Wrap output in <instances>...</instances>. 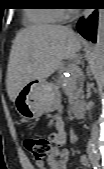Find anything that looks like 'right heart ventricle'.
Masks as SVG:
<instances>
[{"mask_svg": "<svg viewBox=\"0 0 104 169\" xmlns=\"http://www.w3.org/2000/svg\"><path fill=\"white\" fill-rule=\"evenodd\" d=\"M27 17L38 24H51L59 20L58 10L54 8H36L27 12Z\"/></svg>", "mask_w": 104, "mask_h": 169, "instance_id": "e07e8e85", "label": "right heart ventricle"}]
</instances>
